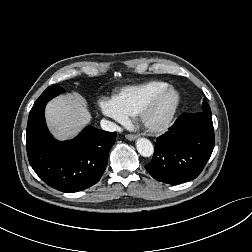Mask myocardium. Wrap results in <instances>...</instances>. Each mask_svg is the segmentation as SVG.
I'll return each instance as SVG.
<instances>
[{
  "label": "myocardium",
  "instance_id": "obj_1",
  "mask_svg": "<svg viewBox=\"0 0 252 252\" xmlns=\"http://www.w3.org/2000/svg\"><path fill=\"white\" fill-rule=\"evenodd\" d=\"M167 93L173 95V105L167 116L158 122H153L149 119L151 111L154 109L158 101ZM181 104V94L177 88L172 85H167L156 91L149 100L141 107L138 113V119L141 125L148 131L159 133L167 130L173 123Z\"/></svg>",
  "mask_w": 252,
  "mask_h": 252
}]
</instances>
